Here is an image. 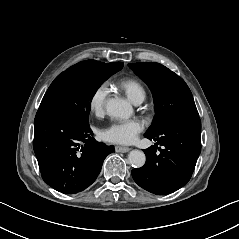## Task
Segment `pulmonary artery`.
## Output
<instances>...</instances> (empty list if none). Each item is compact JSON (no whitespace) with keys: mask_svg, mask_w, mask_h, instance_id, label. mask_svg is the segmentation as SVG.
<instances>
[{"mask_svg":"<svg viewBox=\"0 0 239 239\" xmlns=\"http://www.w3.org/2000/svg\"><path fill=\"white\" fill-rule=\"evenodd\" d=\"M142 101H143L142 98H138V99L135 100V103H136V104H140Z\"/></svg>","mask_w":239,"mask_h":239,"instance_id":"pulmonary-artery-1","label":"pulmonary artery"}]
</instances>
